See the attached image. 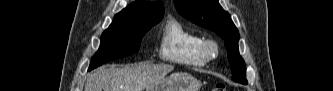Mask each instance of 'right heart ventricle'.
Segmentation results:
<instances>
[{
    "instance_id": "1",
    "label": "right heart ventricle",
    "mask_w": 333,
    "mask_h": 91,
    "mask_svg": "<svg viewBox=\"0 0 333 91\" xmlns=\"http://www.w3.org/2000/svg\"><path fill=\"white\" fill-rule=\"evenodd\" d=\"M204 37L181 22L171 19L165 24L160 39V55L169 62L190 67H203L207 60L202 54Z\"/></svg>"
}]
</instances>
